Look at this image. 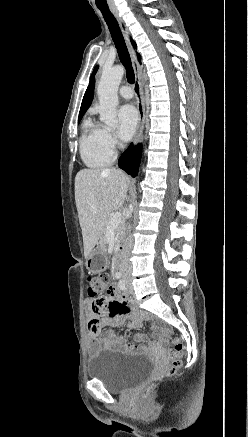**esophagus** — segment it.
Returning a JSON list of instances; mask_svg holds the SVG:
<instances>
[{
	"mask_svg": "<svg viewBox=\"0 0 248 437\" xmlns=\"http://www.w3.org/2000/svg\"><path fill=\"white\" fill-rule=\"evenodd\" d=\"M118 24L120 26V29L122 31V34L124 36L126 45L128 47V51L131 57V62L133 65L134 73H135V83H134V93L136 97V105L138 110V126L134 137V145H136L142 138V133L144 129V123H145V107H144V97H143V89H142V81H141V66L138 62L137 56L135 54V51L131 45L130 38H129V32L127 29L126 24L124 23L122 17L119 15L117 11H113Z\"/></svg>",
	"mask_w": 248,
	"mask_h": 437,
	"instance_id": "1",
	"label": "esophagus"
}]
</instances>
